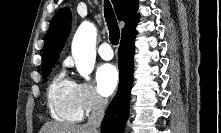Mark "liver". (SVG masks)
<instances>
[{"mask_svg":"<svg viewBox=\"0 0 221 133\" xmlns=\"http://www.w3.org/2000/svg\"><path fill=\"white\" fill-rule=\"evenodd\" d=\"M40 133H90V130L86 125L47 122L43 125Z\"/></svg>","mask_w":221,"mask_h":133,"instance_id":"1","label":"liver"}]
</instances>
